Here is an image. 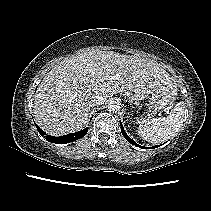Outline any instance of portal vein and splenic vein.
I'll return each instance as SVG.
<instances>
[{"mask_svg":"<svg viewBox=\"0 0 211 211\" xmlns=\"http://www.w3.org/2000/svg\"><path fill=\"white\" fill-rule=\"evenodd\" d=\"M119 78H120V75L119 74H115V75H113V76L110 77V79H112V80H119Z\"/></svg>","mask_w":211,"mask_h":211,"instance_id":"obj_1","label":"portal vein and splenic vein"}]
</instances>
